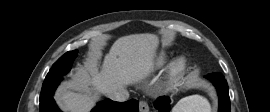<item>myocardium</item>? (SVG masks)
I'll return each instance as SVG.
<instances>
[{"label":"myocardium","mask_w":270,"mask_h":112,"mask_svg":"<svg viewBox=\"0 0 270 112\" xmlns=\"http://www.w3.org/2000/svg\"><path fill=\"white\" fill-rule=\"evenodd\" d=\"M187 64V59L184 56L177 57L169 67V76L171 78L177 77L185 70Z\"/></svg>","instance_id":"f54148a6"}]
</instances>
